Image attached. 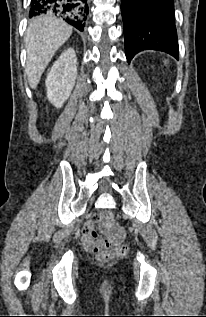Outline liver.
Returning <instances> with one entry per match:
<instances>
[{
    "label": "liver",
    "instance_id": "liver-1",
    "mask_svg": "<svg viewBox=\"0 0 206 317\" xmlns=\"http://www.w3.org/2000/svg\"><path fill=\"white\" fill-rule=\"evenodd\" d=\"M72 27L52 15L32 20L26 34V73L35 89L55 52L69 39Z\"/></svg>",
    "mask_w": 206,
    "mask_h": 317
}]
</instances>
